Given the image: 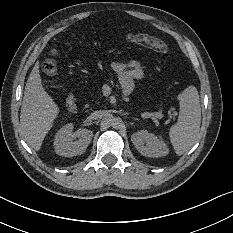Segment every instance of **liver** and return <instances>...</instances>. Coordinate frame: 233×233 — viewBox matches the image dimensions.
<instances>
[{
    "label": "liver",
    "instance_id": "liver-1",
    "mask_svg": "<svg viewBox=\"0 0 233 233\" xmlns=\"http://www.w3.org/2000/svg\"><path fill=\"white\" fill-rule=\"evenodd\" d=\"M56 113V105L42 87L39 62H36L25 86L20 111L24 138L35 150L39 149Z\"/></svg>",
    "mask_w": 233,
    "mask_h": 233
}]
</instances>
